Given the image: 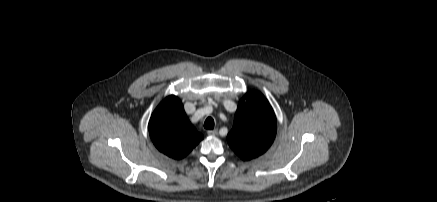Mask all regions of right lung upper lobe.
<instances>
[{
  "label": "right lung upper lobe",
  "instance_id": "1",
  "mask_svg": "<svg viewBox=\"0 0 437 202\" xmlns=\"http://www.w3.org/2000/svg\"><path fill=\"white\" fill-rule=\"evenodd\" d=\"M148 129L156 148L173 159L184 158L203 139L174 95L165 98L154 110Z\"/></svg>",
  "mask_w": 437,
  "mask_h": 202
}]
</instances>
